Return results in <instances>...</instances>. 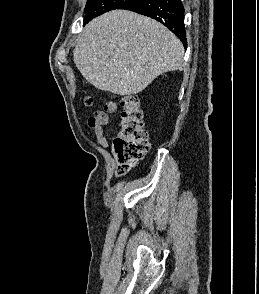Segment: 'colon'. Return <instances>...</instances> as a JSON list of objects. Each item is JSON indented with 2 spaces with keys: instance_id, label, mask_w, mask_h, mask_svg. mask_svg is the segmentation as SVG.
Masks as SVG:
<instances>
[{
  "instance_id": "colon-1",
  "label": "colon",
  "mask_w": 259,
  "mask_h": 294,
  "mask_svg": "<svg viewBox=\"0 0 259 294\" xmlns=\"http://www.w3.org/2000/svg\"><path fill=\"white\" fill-rule=\"evenodd\" d=\"M86 106L93 104V99H84ZM121 123L114 141V151L118 160L117 174L123 176L148 152L150 144L144 127L143 113L136 95L121 98Z\"/></svg>"
}]
</instances>
